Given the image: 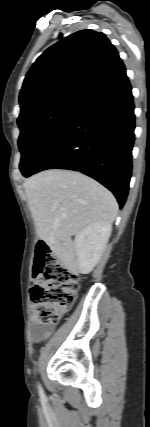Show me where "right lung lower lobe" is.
<instances>
[{
  "mask_svg": "<svg viewBox=\"0 0 150 427\" xmlns=\"http://www.w3.org/2000/svg\"><path fill=\"white\" fill-rule=\"evenodd\" d=\"M126 73L79 105L72 120L33 174L80 171L113 192L122 208L132 171L135 115Z\"/></svg>",
  "mask_w": 150,
  "mask_h": 427,
  "instance_id": "obj_1",
  "label": "right lung lower lobe"
}]
</instances>
